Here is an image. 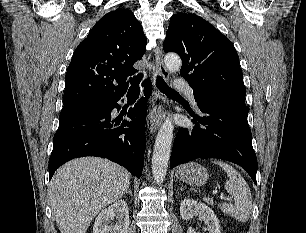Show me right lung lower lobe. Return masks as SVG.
I'll return each instance as SVG.
<instances>
[{"label": "right lung lower lobe", "mask_w": 306, "mask_h": 233, "mask_svg": "<svg viewBox=\"0 0 306 233\" xmlns=\"http://www.w3.org/2000/svg\"><path fill=\"white\" fill-rule=\"evenodd\" d=\"M145 96L127 116L132 122L111 119V112L118 100L109 105L86 110L60 119L53 138V150L49 159V179L62 164L83 156H99L124 166L140 177L146 146L145 120L147 99L151 94V81L144 82ZM127 126L128 128H125Z\"/></svg>", "instance_id": "right-lung-lower-lobe-1"}]
</instances>
